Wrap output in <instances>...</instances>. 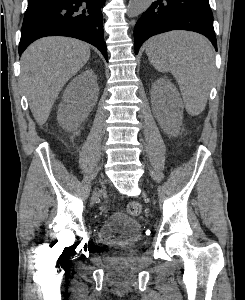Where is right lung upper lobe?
I'll return each instance as SVG.
<instances>
[{"instance_id": "right-lung-upper-lobe-1", "label": "right lung upper lobe", "mask_w": 245, "mask_h": 300, "mask_svg": "<svg viewBox=\"0 0 245 300\" xmlns=\"http://www.w3.org/2000/svg\"><path fill=\"white\" fill-rule=\"evenodd\" d=\"M39 1H42V0H28V2H31V3H36V2H39Z\"/></svg>"}]
</instances>
